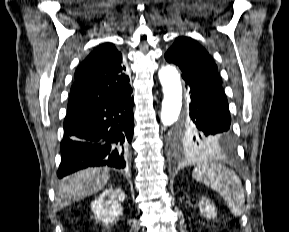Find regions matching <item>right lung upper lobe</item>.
<instances>
[{
  "instance_id": "right-lung-upper-lobe-1",
  "label": "right lung upper lobe",
  "mask_w": 289,
  "mask_h": 232,
  "mask_svg": "<svg viewBox=\"0 0 289 232\" xmlns=\"http://www.w3.org/2000/svg\"><path fill=\"white\" fill-rule=\"evenodd\" d=\"M122 54L111 43L96 48L79 65L71 88L68 110L118 98L129 90Z\"/></svg>"
}]
</instances>
